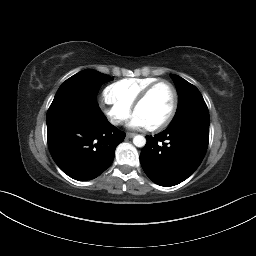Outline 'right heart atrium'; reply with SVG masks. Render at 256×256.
Returning <instances> with one entry per match:
<instances>
[{
	"label": "right heart atrium",
	"mask_w": 256,
	"mask_h": 256,
	"mask_svg": "<svg viewBox=\"0 0 256 256\" xmlns=\"http://www.w3.org/2000/svg\"><path fill=\"white\" fill-rule=\"evenodd\" d=\"M103 113L112 125L120 126L129 118L131 108L111 101L105 94L103 98Z\"/></svg>",
	"instance_id": "d8ad5b80"
}]
</instances>
